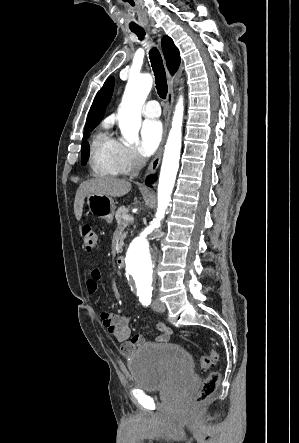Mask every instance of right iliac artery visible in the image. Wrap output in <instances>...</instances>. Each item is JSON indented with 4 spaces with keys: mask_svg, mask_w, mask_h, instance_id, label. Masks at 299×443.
<instances>
[{
    "mask_svg": "<svg viewBox=\"0 0 299 443\" xmlns=\"http://www.w3.org/2000/svg\"><path fill=\"white\" fill-rule=\"evenodd\" d=\"M142 304L144 306H148L150 304V301L149 300H144V301H142Z\"/></svg>",
    "mask_w": 299,
    "mask_h": 443,
    "instance_id": "82829eb1",
    "label": "right iliac artery"
}]
</instances>
